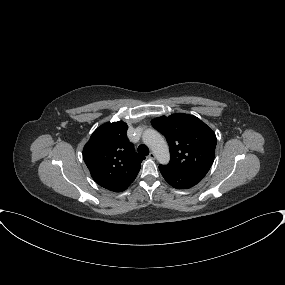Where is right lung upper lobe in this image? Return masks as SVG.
I'll return each mask as SVG.
<instances>
[{
  "label": "right lung upper lobe",
  "instance_id": "right-lung-upper-lobe-1",
  "mask_svg": "<svg viewBox=\"0 0 285 285\" xmlns=\"http://www.w3.org/2000/svg\"><path fill=\"white\" fill-rule=\"evenodd\" d=\"M127 124L108 122L98 127L83 149L92 178L103 188L122 192L134 181L145 158L128 141Z\"/></svg>",
  "mask_w": 285,
  "mask_h": 285
}]
</instances>
